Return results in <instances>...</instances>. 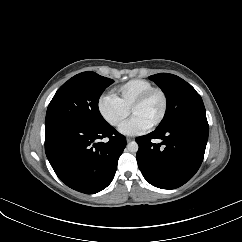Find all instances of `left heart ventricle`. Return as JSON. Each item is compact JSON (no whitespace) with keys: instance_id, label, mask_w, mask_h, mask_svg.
I'll use <instances>...</instances> for the list:
<instances>
[{"instance_id":"1","label":"left heart ventricle","mask_w":242,"mask_h":242,"mask_svg":"<svg viewBox=\"0 0 242 242\" xmlns=\"http://www.w3.org/2000/svg\"><path fill=\"white\" fill-rule=\"evenodd\" d=\"M161 110L162 98L159 94H154L143 105L136 108L132 116L151 126L160 116Z\"/></svg>"}]
</instances>
